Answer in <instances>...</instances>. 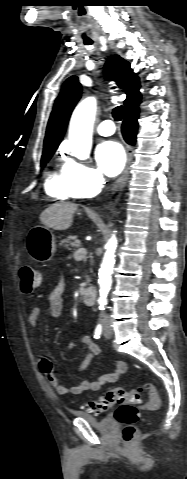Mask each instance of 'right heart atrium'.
Listing matches in <instances>:
<instances>
[{"label": "right heart atrium", "mask_w": 187, "mask_h": 479, "mask_svg": "<svg viewBox=\"0 0 187 479\" xmlns=\"http://www.w3.org/2000/svg\"><path fill=\"white\" fill-rule=\"evenodd\" d=\"M63 172L76 197H92L100 192L105 183L100 170L74 159L65 162Z\"/></svg>", "instance_id": "right-heart-atrium-1"}]
</instances>
